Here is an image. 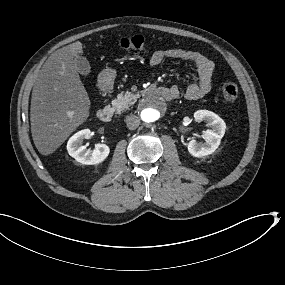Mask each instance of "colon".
I'll return each instance as SVG.
<instances>
[{
    "label": "colon",
    "instance_id": "5ec220e1",
    "mask_svg": "<svg viewBox=\"0 0 285 285\" xmlns=\"http://www.w3.org/2000/svg\"><path fill=\"white\" fill-rule=\"evenodd\" d=\"M118 46L124 50H144L147 47L146 40L141 35L124 37L118 41ZM238 86L234 82L223 85L221 95L224 101L231 102L238 97Z\"/></svg>",
    "mask_w": 285,
    "mask_h": 285
}]
</instances>
